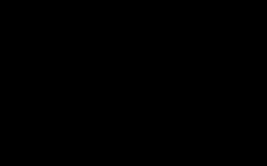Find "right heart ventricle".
<instances>
[{"label": "right heart ventricle", "mask_w": 267, "mask_h": 166, "mask_svg": "<svg viewBox=\"0 0 267 166\" xmlns=\"http://www.w3.org/2000/svg\"><path fill=\"white\" fill-rule=\"evenodd\" d=\"M144 32V29H136L132 28L129 29L127 26H123L119 29H117L114 32V35L111 38V43L113 46L122 49L124 48L125 43H129L135 36L141 34Z\"/></svg>", "instance_id": "right-heart-ventricle-1"}]
</instances>
